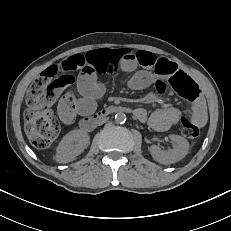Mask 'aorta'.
Wrapping results in <instances>:
<instances>
[{
    "instance_id": "aorta-1",
    "label": "aorta",
    "mask_w": 231,
    "mask_h": 231,
    "mask_svg": "<svg viewBox=\"0 0 231 231\" xmlns=\"http://www.w3.org/2000/svg\"><path fill=\"white\" fill-rule=\"evenodd\" d=\"M115 121L118 124L124 123L126 121V115H125V113H123V112L116 113V115H115Z\"/></svg>"
}]
</instances>
